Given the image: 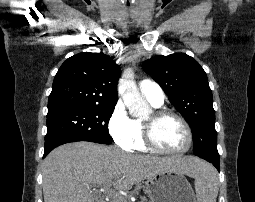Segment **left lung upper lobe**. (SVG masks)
<instances>
[{
    "mask_svg": "<svg viewBox=\"0 0 255 202\" xmlns=\"http://www.w3.org/2000/svg\"><path fill=\"white\" fill-rule=\"evenodd\" d=\"M142 66L191 126L194 154L219 160L212 91L199 63L185 53H174L155 56Z\"/></svg>",
    "mask_w": 255,
    "mask_h": 202,
    "instance_id": "5c2ea615",
    "label": "left lung upper lobe"
}]
</instances>
